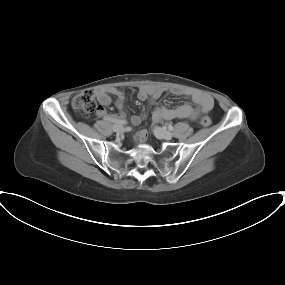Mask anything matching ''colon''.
I'll use <instances>...</instances> for the list:
<instances>
[{"label": "colon", "mask_w": 285, "mask_h": 285, "mask_svg": "<svg viewBox=\"0 0 285 285\" xmlns=\"http://www.w3.org/2000/svg\"><path fill=\"white\" fill-rule=\"evenodd\" d=\"M72 107L83 113L94 112L97 107L94 90H85L75 96L72 100ZM199 123L203 126H209L211 124V119L207 116H203L199 119Z\"/></svg>", "instance_id": "1"}]
</instances>
